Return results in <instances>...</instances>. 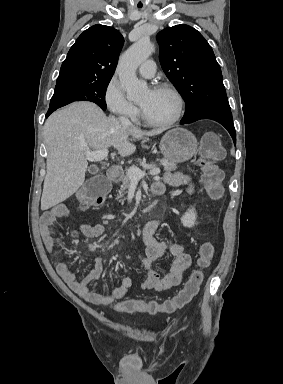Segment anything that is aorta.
Here are the masks:
<instances>
[{
  "label": "aorta",
  "instance_id": "1",
  "mask_svg": "<svg viewBox=\"0 0 283 384\" xmlns=\"http://www.w3.org/2000/svg\"><path fill=\"white\" fill-rule=\"evenodd\" d=\"M154 45L147 38L134 43L120 58L118 75L121 86L129 99L139 98L147 91V84L138 80L136 69L154 52Z\"/></svg>",
  "mask_w": 283,
  "mask_h": 384
}]
</instances>
